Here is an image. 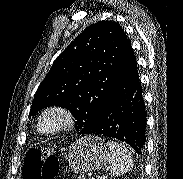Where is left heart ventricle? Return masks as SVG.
<instances>
[{
    "mask_svg": "<svg viewBox=\"0 0 183 179\" xmlns=\"http://www.w3.org/2000/svg\"><path fill=\"white\" fill-rule=\"evenodd\" d=\"M60 122V119L55 116V115H50L48 117H46L43 121V128L48 130V129H52L55 126H57Z\"/></svg>",
    "mask_w": 183,
    "mask_h": 179,
    "instance_id": "obj_1",
    "label": "left heart ventricle"
}]
</instances>
